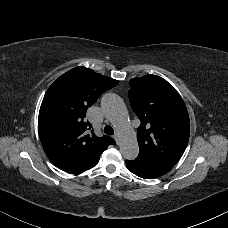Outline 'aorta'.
Wrapping results in <instances>:
<instances>
[{
	"mask_svg": "<svg viewBox=\"0 0 228 228\" xmlns=\"http://www.w3.org/2000/svg\"><path fill=\"white\" fill-rule=\"evenodd\" d=\"M101 107L119 133L121 155L128 160L138 156L139 146L136 133L129 125L128 114L123 100L116 94L107 93L102 97Z\"/></svg>",
	"mask_w": 228,
	"mask_h": 228,
	"instance_id": "762f6f07",
	"label": "aorta"
}]
</instances>
